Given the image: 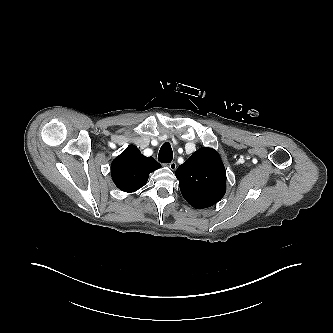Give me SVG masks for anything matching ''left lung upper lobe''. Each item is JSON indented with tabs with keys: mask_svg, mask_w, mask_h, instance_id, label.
<instances>
[{
	"mask_svg": "<svg viewBox=\"0 0 333 333\" xmlns=\"http://www.w3.org/2000/svg\"><path fill=\"white\" fill-rule=\"evenodd\" d=\"M176 177L184 199L194 208L216 204L226 192V170L219 154L203 147L178 167Z\"/></svg>",
	"mask_w": 333,
	"mask_h": 333,
	"instance_id": "obj_1",
	"label": "left lung upper lobe"
}]
</instances>
